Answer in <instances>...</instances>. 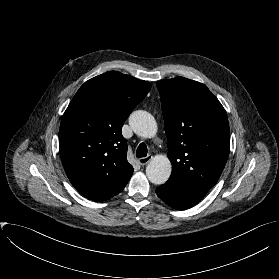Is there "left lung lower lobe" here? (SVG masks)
<instances>
[{"instance_id":"0a47b994","label":"left lung lower lobe","mask_w":279,"mask_h":279,"mask_svg":"<svg viewBox=\"0 0 279 279\" xmlns=\"http://www.w3.org/2000/svg\"><path fill=\"white\" fill-rule=\"evenodd\" d=\"M158 197L177 210H185L196 205L205 193L168 180L156 189Z\"/></svg>"}]
</instances>
